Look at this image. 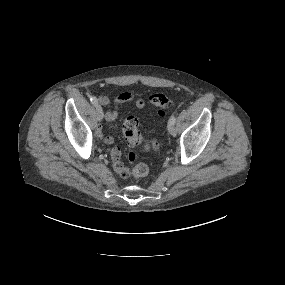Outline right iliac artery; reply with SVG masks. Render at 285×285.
<instances>
[{"label":"right iliac artery","instance_id":"obj_1","mask_svg":"<svg viewBox=\"0 0 285 285\" xmlns=\"http://www.w3.org/2000/svg\"><path fill=\"white\" fill-rule=\"evenodd\" d=\"M90 101L92 102V104H93L94 106L98 105V99H97L95 96H92V97L90 98Z\"/></svg>","mask_w":285,"mask_h":285}]
</instances>
